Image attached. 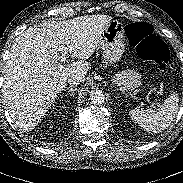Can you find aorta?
<instances>
[{
	"mask_svg": "<svg viewBox=\"0 0 183 183\" xmlns=\"http://www.w3.org/2000/svg\"><path fill=\"white\" fill-rule=\"evenodd\" d=\"M90 101L94 105H101L105 102V95L101 90L92 91L90 94Z\"/></svg>",
	"mask_w": 183,
	"mask_h": 183,
	"instance_id": "obj_1",
	"label": "aorta"
}]
</instances>
